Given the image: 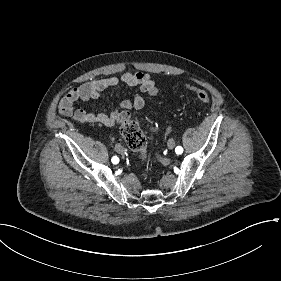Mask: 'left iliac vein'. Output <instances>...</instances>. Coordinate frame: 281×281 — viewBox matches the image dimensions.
I'll return each instance as SVG.
<instances>
[{
	"mask_svg": "<svg viewBox=\"0 0 281 281\" xmlns=\"http://www.w3.org/2000/svg\"><path fill=\"white\" fill-rule=\"evenodd\" d=\"M167 145L169 149H173L175 146V141L173 139H169Z\"/></svg>",
	"mask_w": 281,
	"mask_h": 281,
	"instance_id": "4c4485c4",
	"label": "left iliac vein"
}]
</instances>
